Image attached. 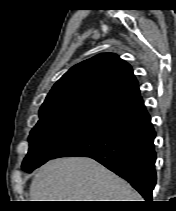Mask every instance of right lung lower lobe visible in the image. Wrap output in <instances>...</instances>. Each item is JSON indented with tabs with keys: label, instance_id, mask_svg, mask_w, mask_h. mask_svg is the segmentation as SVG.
<instances>
[{
	"label": "right lung lower lobe",
	"instance_id": "1",
	"mask_svg": "<svg viewBox=\"0 0 176 211\" xmlns=\"http://www.w3.org/2000/svg\"><path fill=\"white\" fill-rule=\"evenodd\" d=\"M155 131L145 106L101 120L51 159L85 156L127 180L146 201L156 183Z\"/></svg>",
	"mask_w": 176,
	"mask_h": 211
}]
</instances>
